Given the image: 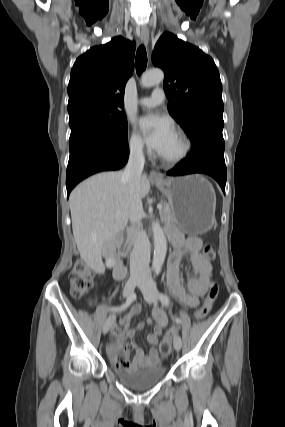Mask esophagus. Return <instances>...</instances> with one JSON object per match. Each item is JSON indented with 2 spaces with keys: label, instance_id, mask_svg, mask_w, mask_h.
Wrapping results in <instances>:
<instances>
[{
  "label": "esophagus",
  "instance_id": "obj_1",
  "mask_svg": "<svg viewBox=\"0 0 285 427\" xmlns=\"http://www.w3.org/2000/svg\"><path fill=\"white\" fill-rule=\"evenodd\" d=\"M141 40L145 43V45H148V43H149V30L147 28L141 29ZM150 179L161 180L162 177L158 174L157 171L152 169L150 171Z\"/></svg>",
  "mask_w": 285,
  "mask_h": 427
}]
</instances>
